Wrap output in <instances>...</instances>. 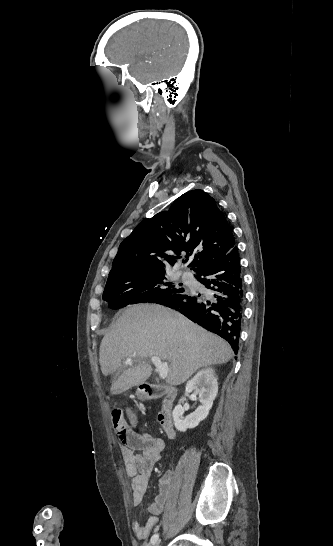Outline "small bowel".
<instances>
[{"instance_id": "c3829d8e", "label": "small bowel", "mask_w": 333, "mask_h": 546, "mask_svg": "<svg viewBox=\"0 0 333 546\" xmlns=\"http://www.w3.org/2000/svg\"><path fill=\"white\" fill-rule=\"evenodd\" d=\"M124 409L131 425L129 430L132 445L131 447L122 446L121 454L126 474L131 478L132 501L134 505L138 506L145 498L153 468L161 458L165 442L160 437L136 431L137 417L135 413L127 406ZM137 451H141V453H136ZM172 496L171 482L169 478H163L160 482L159 494L148 509L151 516L143 524L139 521L134 523V531L139 538L147 537L157 527L159 516Z\"/></svg>"}]
</instances>
